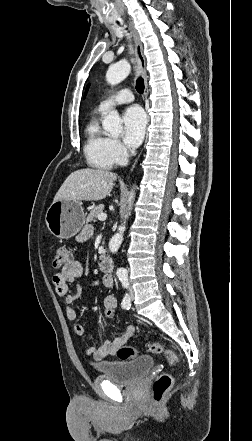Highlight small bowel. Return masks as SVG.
Listing matches in <instances>:
<instances>
[{"label":"small bowel","instance_id":"small-bowel-1","mask_svg":"<svg viewBox=\"0 0 252 441\" xmlns=\"http://www.w3.org/2000/svg\"><path fill=\"white\" fill-rule=\"evenodd\" d=\"M91 234L89 228L84 229L79 235V240L83 241L87 239ZM83 274V268L81 263L73 258L67 266L62 268V270L53 276V284L55 286L56 293L64 297L66 303V317L70 321H77V312L74 309V303L82 295V287L80 284H76L75 290L72 294H69L68 283L76 282L81 278ZM102 283L105 287L111 288L114 285V279L111 274H104L102 278ZM103 306L108 304L117 307V298L113 295L106 296L102 301ZM74 334L78 337L84 335V328L80 324H75L73 327ZM135 327L130 325L125 331L114 340H107L97 346H92L86 349V355L93 358L96 361L103 360L104 358L114 355L117 351L123 347L129 339L134 335Z\"/></svg>","mask_w":252,"mask_h":441}]
</instances>
